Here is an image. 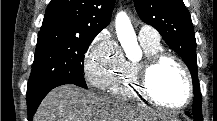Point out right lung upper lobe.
Segmentation results:
<instances>
[{"instance_id": "right-lung-upper-lobe-1", "label": "right lung upper lobe", "mask_w": 217, "mask_h": 121, "mask_svg": "<svg viewBox=\"0 0 217 121\" xmlns=\"http://www.w3.org/2000/svg\"><path fill=\"white\" fill-rule=\"evenodd\" d=\"M115 0H51L41 31L96 36L109 25Z\"/></svg>"}]
</instances>
